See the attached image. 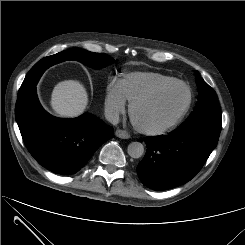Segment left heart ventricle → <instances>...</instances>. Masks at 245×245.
<instances>
[{"label": "left heart ventricle", "instance_id": "b2bd125f", "mask_svg": "<svg viewBox=\"0 0 245 245\" xmlns=\"http://www.w3.org/2000/svg\"><path fill=\"white\" fill-rule=\"evenodd\" d=\"M187 89L173 85L153 100L140 105L135 112L136 121L146 128H160L172 122L184 108Z\"/></svg>", "mask_w": 245, "mask_h": 245}]
</instances>
